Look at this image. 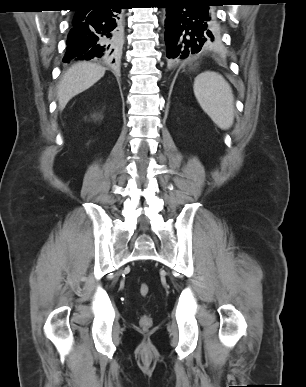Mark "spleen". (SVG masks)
I'll return each instance as SVG.
<instances>
[{
	"mask_svg": "<svg viewBox=\"0 0 306 387\" xmlns=\"http://www.w3.org/2000/svg\"><path fill=\"white\" fill-rule=\"evenodd\" d=\"M194 94L201 108L222 130L234 121V96L229 83L218 73L206 71L194 81Z\"/></svg>",
	"mask_w": 306,
	"mask_h": 387,
	"instance_id": "1",
	"label": "spleen"
}]
</instances>
